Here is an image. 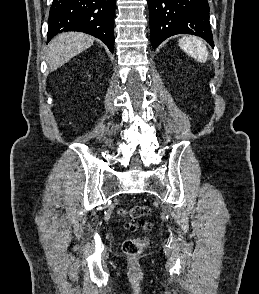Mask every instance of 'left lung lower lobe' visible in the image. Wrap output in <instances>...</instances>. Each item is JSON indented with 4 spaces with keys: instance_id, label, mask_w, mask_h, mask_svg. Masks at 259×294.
Here are the masks:
<instances>
[{
    "instance_id": "0a47b994",
    "label": "left lung lower lobe",
    "mask_w": 259,
    "mask_h": 294,
    "mask_svg": "<svg viewBox=\"0 0 259 294\" xmlns=\"http://www.w3.org/2000/svg\"><path fill=\"white\" fill-rule=\"evenodd\" d=\"M148 6L154 49L176 34L196 35L214 46L207 0H148Z\"/></svg>"
}]
</instances>
